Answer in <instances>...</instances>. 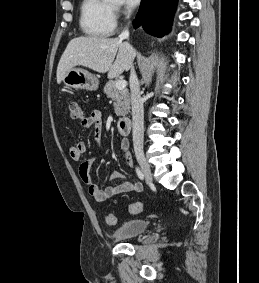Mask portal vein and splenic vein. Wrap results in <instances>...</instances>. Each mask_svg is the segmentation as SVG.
Segmentation results:
<instances>
[{
  "label": "portal vein and splenic vein",
  "instance_id": "portal-vein-and-splenic-vein-1",
  "mask_svg": "<svg viewBox=\"0 0 259 283\" xmlns=\"http://www.w3.org/2000/svg\"><path fill=\"white\" fill-rule=\"evenodd\" d=\"M127 83L125 80H118L116 82V88L121 90V89H124L126 87Z\"/></svg>",
  "mask_w": 259,
  "mask_h": 283
}]
</instances>
